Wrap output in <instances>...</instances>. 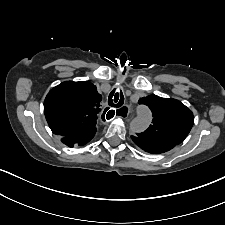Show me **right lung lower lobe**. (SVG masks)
Here are the masks:
<instances>
[{"instance_id":"1","label":"right lung lower lobe","mask_w":225,"mask_h":225,"mask_svg":"<svg viewBox=\"0 0 225 225\" xmlns=\"http://www.w3.org/2000/svg\"><path fill=\"white\" fill-rule=\"evenodd\" d=\"M92 138L91 137H67L61 136V141L69 147H73L76 145L82 146L89 142Z\"/></svg>"}]
</instances>
